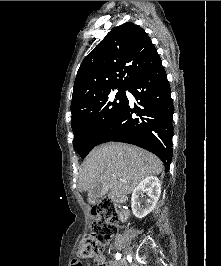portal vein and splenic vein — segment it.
Returning <instances> with one entry per match:
<instances>
[{
  "instance_id": "18ae733b",
  "label": "portal vein and splenic vein",
  "mask_w": 221,
  "mask_h": 266,
  "mask_svg": "<svg viewBox=\"0 0 221 266\" xmlns=\"http://www.w3.org/2000/svg\"><path fill=\"white\" fill-rule=\"evenodd\" d=\"M113 177H115V175H113ZM121 181H125V180H121Z\"/></svg>"
}]
</instances>
